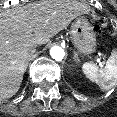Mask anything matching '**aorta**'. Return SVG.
<instances>
[{"label":"aorta","instance_id":"aorta-1","mask_svg":"<svg viewBox=\"0 0 117 117\" xmlns=\"http://www.w3.org/2000/svg\"><path fill=\"white\" fill-rule=\"evenodd\" d=\"M50 56L56 60V61H60L64 58L65 56V51L63 48H61L60 46H53L50 49Z\"/></svg>","mask_w":117,"mask_h":117}]
</instances>
